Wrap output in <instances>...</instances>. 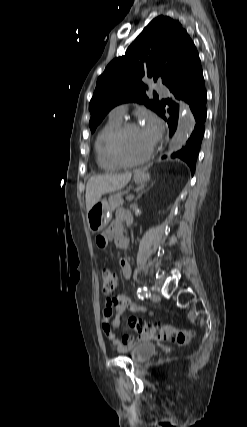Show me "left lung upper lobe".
Listing matches in <instances>:
<instances>
[{
  "instance_id": "left-lung-upper-lobe-1",
  "label": "left lung upper lobe",
  "mask_w": 247,
  "mask_h": 427,
  "mask_svg": "<svg viewBox=\"0 0 247 427\" xmlns=\"http://www.w3.org/2000/svg\"><path fill=\"white\" fill-rule=\"evenodd\" d=\"M198 57L194 43L177 20L162 15L153 19L125 55L111 61L98 78L89 103L91 132L113 107L124 102L144 103L159 114L162 104L148 99L143 79L162 80L168 86Z\"/></svg>"
}]
</instances>
